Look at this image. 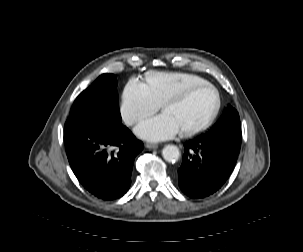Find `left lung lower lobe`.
<instances>
[{
	"label": "left lung lower lobe",
	"mask_w": 303,
	"mask_h": 252,
	"mask_svg": "<svg viewBox=\"0 0 303 252\" xmlns=\"http://www.w3.org/2000/svg\"><path fill=\"white\" fill-rule=\"evenodd\" d=\"M241 141L199 136L184 144L178 170L180 189L191 198H203L217 191L231 174Z\"/></svg>",
	"instance_id": "obj_1"
}]
</instances>
